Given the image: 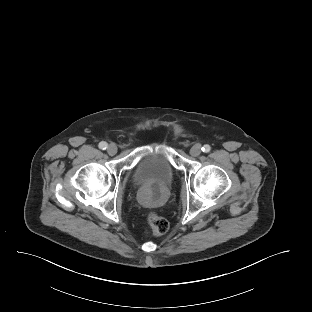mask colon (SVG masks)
<instances>
[{"label":"colon","instance_id":"1","mask_svg":"<svg viewBox=\"0 0 312 312\" xmlns=\"http://www.w3.org/2000/svg\"><path fill=\"white\" fill-rule=\"evenodd\" d=\"M169 229L168 221L157 213H149L147 215V233L151 235H162Z\"/></svg>","mask_w":312,"mask_h":312}]
</instances>
